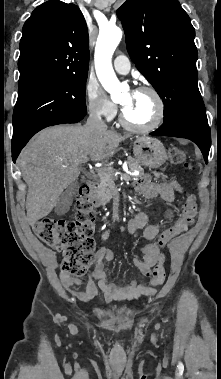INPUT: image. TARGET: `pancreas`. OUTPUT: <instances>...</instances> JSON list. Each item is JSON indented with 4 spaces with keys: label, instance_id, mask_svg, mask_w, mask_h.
<instances>
[{
    "label": "pancreas",
    "instance_id": "pancreas-1",
    "mask_svg": "<svg viewBox=\"0 0 221 379\" xmlns=\"http://www.w3.org/2000/svg\"><path fill=\"white\" fill-rule=\"evenodd\" d=\"M128 166L130 170L134 171L137 170L140 174H143L144 170L142 168V165L139 160L129 157L128 160ZM155 177L162 176L163 179L167 178L166 175L158 172H153ZM124 179L130 180L131 176L129 175H123ZM137 178V177H134ZM115 170L113 168H106L102 170V174L99 175V180L97 182V187L93 190L94 195L102 202L107 203L109 202L112 197L115 195Z\"/></svg>",
    "mask_w": 221,
    "mask_h": 379
}]
</instances>
